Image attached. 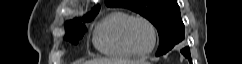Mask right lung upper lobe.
<instances>
[{"mask_svg": "<svg viewBox=\"0 0 242 64\" xmlns=\"http://www.w3.org/2000/svg\"><path fill=\"white\" fill-rule=\"evenodd\" d=\"M99 9H100V6H96V7H94L93 9H92V11L89 13V14H87V15H90V14H92V13H94V12H97V11H99ZM86 15V16H87ZM76 22H78L77 20H73V21H69V22H67V24H72V23H76Z\"/></svg>", "mask_w": 242, "mask_h": 64, "instance_id": "cb5924a9", "label": "right lung upper lobe"}]
</instances>
